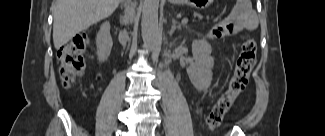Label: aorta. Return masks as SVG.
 <instances>
[{"mask_svg":"<svg viewBox=\"0 0 325 136\" xmlns=\"http://www.w3.org/2000/svg\"><path fill=\"white\" fill-rule=\"evenodd\" d=\"M159 0H144L141 17V30L146 49L155 48L158 37Z\"/></svg>","mask_w":325,"mask_h":136,"instance_id":"762f6f07","label":"aorta"}]
</instances>
